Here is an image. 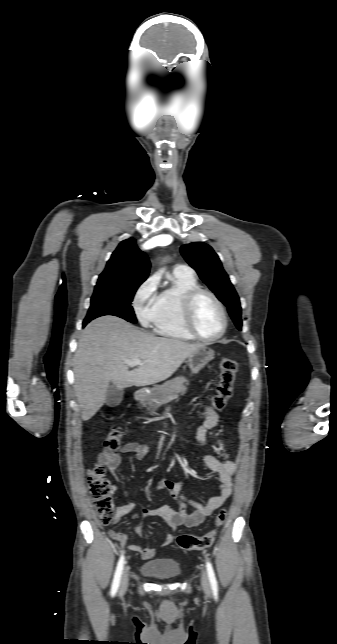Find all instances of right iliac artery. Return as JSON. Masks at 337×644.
Wrapping results in <instances>:
<instances>
[{"instance_id":"obj_1","label":"right iliac artery","mask_w":337,"mask_h":644,"mask_svg":"<svg viewBox=\"0 0 337 644\" xmlns=\"http://www.w3.org/2000/svg\"><path fill=\"white\" fill-rule=\"evenodd\" d=\"M123 567H124V555L122 554L120 559H119V562L117 564L116 571H115L114 578H113V582H112V587H111V595L112 596H114L116 594V592H117V590L119 588Z\"/></svg>"}]
</instances>
